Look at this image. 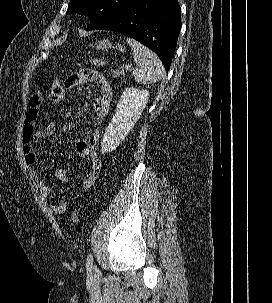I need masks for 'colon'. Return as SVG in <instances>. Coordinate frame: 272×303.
I'll list each match as a JSON object with an SVG mask.
<instances>
[{
    "label": "colon",
    "instance_id": "obj_1",
    "mask_svg": "<svg viewBox=\"0 0 272 303\" xmlns=\"http://www.w3.org/2000/svg\"><path fill=\"white\" fill-rule=\"evenodd\" d=\"M93 64L99 68H103L106 65V61L101 57H96L92 60ZM111 74L113 77L119 78L122 75V72L119 68L114 67L111 69ZM64 87L62 82L59 79H55L51 85L49 100L51 105L58 106L63 100ZM48 126H53L52 124H48ZM70 218L74 223L79 221V215L77 212L72 211L70 214Z\"/></svg>",
    "mask_w": 272,
    "mask_h": 303
}]
</instances>
